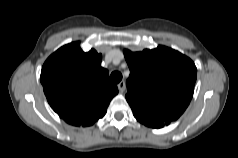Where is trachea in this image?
<instances>
[{"label":"trachea","mask_w":238,"mask_h":158,"mask_svg":"<svg viewBox=\"0 0 238 158\" xmlns=\"http://www.w3.org/2000/svg\"><path fill=\"white\" fill-rule=\"evenodd\" d=\"M111 80L114 83H119L122 80V74L118 71H114L111 73Z\"/></svg>","instance_id":"obj_1"}]
</instances>
